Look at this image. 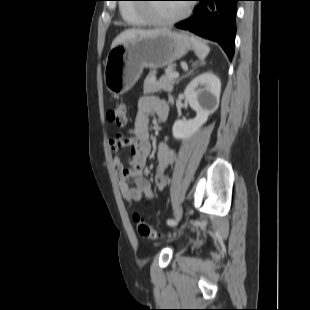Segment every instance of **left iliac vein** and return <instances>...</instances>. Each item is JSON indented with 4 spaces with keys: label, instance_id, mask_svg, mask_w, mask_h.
Returning <instances> with one entry per match:
<instances>
[{
    "label": "left iliac vein",
    "instance_id": "4c4485c4",
    "mask_svg": "<svg viewBox=\"0 0 310 310\" xmlns=\"http://www.w3.org/2000/svg\"><path fill=\"white\" fill-rule=\"evenodd\" d=\"M181 217H182V209L180 208L175 215L174 224L172 226L177 225L181 220Z\"/></svg>",
    "mask_w": 310,
    "mask_h": 310
}]
</instances>
